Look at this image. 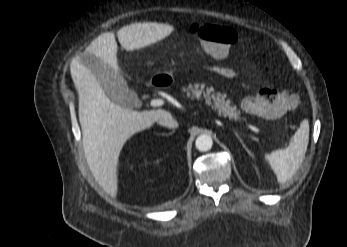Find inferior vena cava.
<instances>
[{
	"label": "inferior vena cava",
	"mask_w": 347,
	"mask_h": 247,
	"mask_svg": "<svg viewBox=\"0 0 347 247\" xmlns=\"http://www.w3.org/2000/svg\"><path fill=\"white\" fill-rule=\"evenodd\" d=\"M158 123L167 128L174 129L178 127V122L172 117L169 112H163L158 119Z\"/></svg>",
	"instance_id": "602c4592"
}]
</instances>
